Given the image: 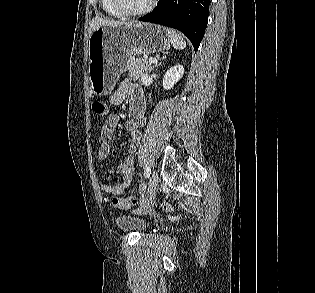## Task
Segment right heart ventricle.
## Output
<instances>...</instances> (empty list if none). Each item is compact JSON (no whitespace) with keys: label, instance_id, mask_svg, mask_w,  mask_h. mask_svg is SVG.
Masks as SVG:
<instances>
[{"label":"right heart ventricle","instance_id":"right-heart-ventricle-1","mask_svg":"<svg viewBox=\"0 0 315 293\" xmlns=\"http://www.w3.org/2000/svg\"><path fill=\"white\" fill-rule=\"evenodd\" d=\"M100 5L103 12L109 17L117 19H121L124 17L123 14H121L115 9L112 0H100Z\"/></svg>","mask_w":315,"mask_h":293}]
</instances>
